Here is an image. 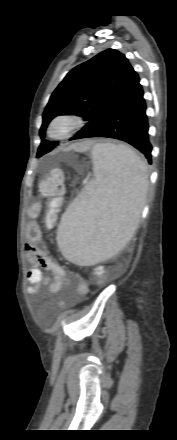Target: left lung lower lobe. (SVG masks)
<instances>
[{"label":"left lung lower lobe","mask_w":177,"mask_h":440,"mask_svg":"<svg viewBox=\"0 0 177 440\" xmlns=\"http://www.w3.org/2000/svg\"><path fill=\"white\" fill-rule=\"evenodd\" d=\"M143 89L139 84L127 101L99 128L83 138L108 137L129 143L141 151L152 164L148 118Z\"/></svg>","instance_id":"obj_1"}]
</instances>
